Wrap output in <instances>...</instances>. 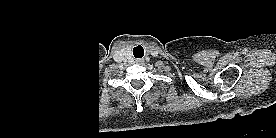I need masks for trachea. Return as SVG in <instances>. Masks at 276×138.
Instances as JSON below:
<instances>
[{
	"label": "trachea",
	"instance_id": "1",
	"mask_svg": "<svg viewBox=\"0 0 276 138\" xmlns=\"http://www.w3.org/2000/svg\"><path fill=\"white\" fill-rule=\"evenodd\" d=\"M133 54L135 58H141L144 55V50L141 46H137L133 49Z\"/></svg>",
	"mask_w": 276,
	"mask_h": 138
}]
</instances>
